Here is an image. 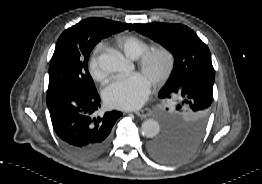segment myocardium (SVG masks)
<instances>
[{
	"label": "myocardium",
	"mask_w": 262,
	"mask_h": 184,
	"mask_svg": "<svg viewBox=\"0 0 262 184\" xmlns=\"http://www.w3.org/2000/svg\"><path fill=\"white\" fill-rule=\"evenodd\" d=\"M158 57H163L165 60L164 67L153 74L151 82L154 86H159L165 83L175 71L177 65L176 52L169 46L159 45L146 50L139 59V69L142 73L150 70L154 61Z\"/></svg>",
	"instance_id": "1"
}]
</instances>
